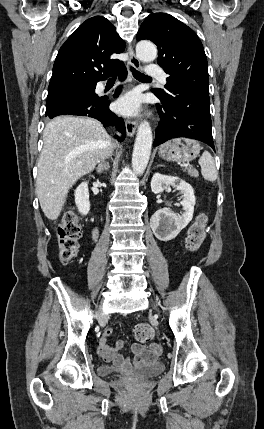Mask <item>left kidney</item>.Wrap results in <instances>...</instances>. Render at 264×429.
<instances>
[{"label":"left kidney","mask_w":264,"mask_h":429,"mask_svg":"<svg viewBox=\"0 0 264 429\" xmlns=\"http://www.w3.org/2000/svg\"><path fill=\"white\" fill-rule=\"evenodd\" d=\"M172 186L183 194L181 205L184 213L176 214L168 208L157 210L150 219V227L154 235L161 241L174 239L193 218L195 195L192 186L177 176L155 173L151 180V190L154 194L161 193Z\"/></svg>","instance_id":"5707ae66"}]
</instances>
